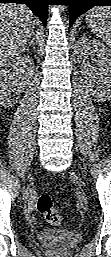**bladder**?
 I'll return each mask as SVG.
<instances>
[{
	"label": "bladder",
	"instance_id": "bladder-1",
	"mask_svg": "<svg viewBox=\"0 0 111 257\" xmlns=\"http://www.w3.org/2000/svg\"><path fill=\"white\" fill-rule=\"evenodd\" d=\"M38 241L51 254H65L81 243L82 236L69 230H51L41 233Z\"/></svg>",
	"mask_w": 111,
	"mask_h": 257
}]
</instances>
